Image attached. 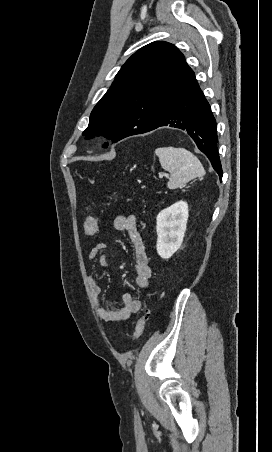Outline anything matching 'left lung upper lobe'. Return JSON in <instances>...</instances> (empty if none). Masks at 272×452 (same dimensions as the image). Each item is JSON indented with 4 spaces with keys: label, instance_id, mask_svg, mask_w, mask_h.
Here are the masks:
<instances>
[{
    "label": "left lung upper lobe",
    "instance_id": "left-lung-upper-lobe-1",
    "mask_svg": "<svg viewBox=\"0 0 272 452\" xmlns=\"http://www.w3.org/2000/svg\"><path fill=\"white\" fill-rule=\"evenodd\" d=\"M190 71L174 45L157 41L142 47L121 67L94 107L83 135H103L115 143L149 128Z\"/></svg>",
    "mask_w": 272,
    "mask_h": 452
}]
</instances>
